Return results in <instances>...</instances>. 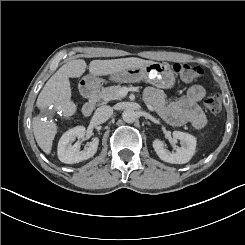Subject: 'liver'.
I'll list each match as a JSON object with an SVG mask.
<instances>
[{
    "label": "liver",
    "mask_w": 245,
    "mask_h": 245,
    "mask_svg": "<svg viewBox=\"0 0 245 245\" xmlns=\"http://www.w3.org/2000/svg\"><path fill=\"white\" fill-rule=\"evenodd\" d=\"M153 61L130 57L112 60H93L89 64L92 75L102 76L124 71L129 68L140 67ZM86 62L82 59L72 60L61 66L46 82L40 92L36 106L45 109L53 106L62 110L63 116L71 117L76 112V105L71 101L69 78L80 77L86 69ZM33 133L37 144L46 153L50 154L57 125L53 122H42L40 116L34 117L32 122Z\"/></svg>",
    "instance_id": "liver-1"
}]
</instances>
